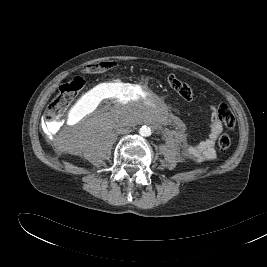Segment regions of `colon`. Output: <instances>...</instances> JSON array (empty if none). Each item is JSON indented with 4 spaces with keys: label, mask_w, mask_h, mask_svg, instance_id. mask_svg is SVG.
Masks as SVG:
<instances>
[{
    "label": "colon",
    "mask_w": 267,
    "mask_h": 267,
    "mask_svg": "<svg viewBox=\"0 0 267 267\" xmlns=\"http://www.w3.org/2000/svg\"><path fill=\"white\" fill-rule=\"evenodd\" d=\"M109 65L110 64L108 63L89 65L85 68V72L96 73L105 69ZM167 83L169 87L173 89L182 99L186 101L192 100L194 92L189 84L180 80L174 74L168 75ZM84 84L85 82L81 77H75L60 87L58 94L46 109L45 121L47 124H54L64 117L67 108L71 105L78 93L83 89ZM218 114L226 127L233 128L235 126V117L231 109L226 104L218 106ZM230 145L231 139L229 135H221L218 140L220 150L226 151Z\"/></svg>",
    "instance_id": "1"
}]
</instances>
